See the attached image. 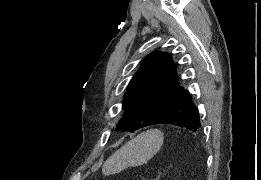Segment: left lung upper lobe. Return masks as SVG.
<instances>
[{"mask_svg":"<svg viewBox=\"0 0 261 180\" xmlns=\"http://www.w3.org/2000/svg\"><path fill=\"white\" fill-rule=\"evenodd\" d=\"M176 79L170 54L155 52L147 56L124 95L125 112L117 130L133 132L152 125L183 89Z\"/></svg>","mask_w":261,"mask_h":180,"instance_id":"obj_1","label":"left lung upper lobe"}]
</instances>
